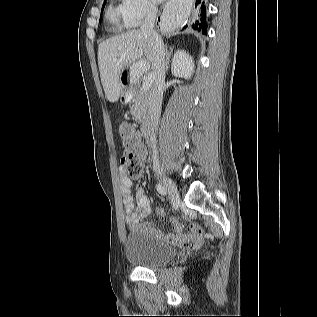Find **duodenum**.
I'll return each mask as SVG.
<instances>
[{"label":"duodenum","mask_w":317,"mask_h":317,"mask_svg":"<svg viewBox=\"0 0 317 317\" xmlns=\"http://www.w3.org/2000/svg\"><path fill=\"white\" fill-rule=\"evenodd\" d=\"M154 135V129L150 122H145L143 125V137L147 142H151Z\"/></svg>","instance_id":"410a0bca"}]
</instances>
